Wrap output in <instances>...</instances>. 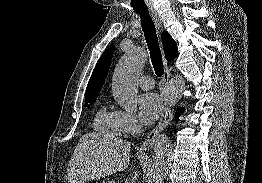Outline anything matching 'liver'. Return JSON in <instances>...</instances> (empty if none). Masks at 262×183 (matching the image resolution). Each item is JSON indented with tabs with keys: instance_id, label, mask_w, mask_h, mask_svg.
<instances>
[{
	"instance_id": "obj_1",
	"label": "liver",
	"mask_w": 262,
	"mask_h": 183,
	"mask_svg": "<svg viewBox=\"0 0 262 183\" xmlns=\"http://www.w3.org/2000/svg\"><path fill=\"white\" fill-rule=\"evenodd\" d=\"M131 143L105 133L83 135L68 164V183H86L125 170Z\"/></svg>"
}]
</instances>
